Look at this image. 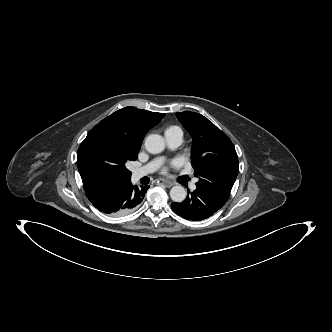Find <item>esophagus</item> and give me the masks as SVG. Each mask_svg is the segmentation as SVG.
<instances>
[{
  "instance_id": "1",
  "label": "esophagus",
  "mask_w": 332,
  "mask_h": 332,
  "mask_svg": "<svg viewBox=\"0 0 332 332\" xmlns=\"http://www.w3.org/2000/svg\"><path fill=\"white\" fill-rule=\"evenodd\" d=\"M157 182L165 185L166 187H171L173 185V183L171 181L166 180V179H158Z\"/></svg>"
}]
</instances>
